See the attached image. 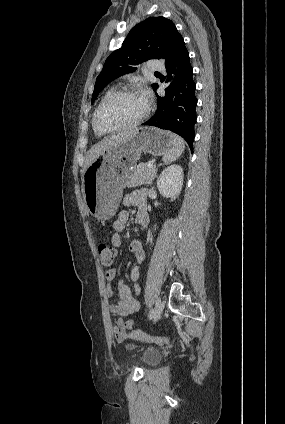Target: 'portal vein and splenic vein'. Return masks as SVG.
Here are the masks:
<instances>
[{
    "label": "portal vein and splenic vein",
    "mask_w": 285,
    "mask_h": 424,
    "mask_svg": "<svg viewBox=\"0 0 285 424\" xmlns=\"http://www.w3.org/2000/svg\"><path fill=\"white\" fill-rule=\"evenodd\" d=\"M153 166V161L148 162V167Z\"/></svg>",
    "instance_id": "portal-vein-and-splenic-vein-1"
}]
</instances>
